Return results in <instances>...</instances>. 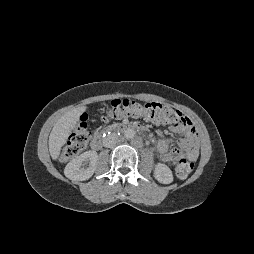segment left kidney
Returning <instances> with one entry per match:
<instances>
[{"instance_id":"5707ae66","label":"left kidney","mask_w":254,"mask_h":254,"mask_svg":"<svg viewBox=\"0 0 254 254\" xmlns=\"http://www.w3.org/2000/svg\"><path fill=\"white\" fill-rule=\"evenodd\" d=\"M155 179L162 184H170L173 181V174L170 168L163 164L157 163L154 170Z\"/></svg>"}]
</instances>
